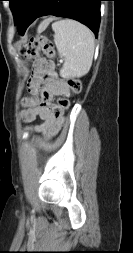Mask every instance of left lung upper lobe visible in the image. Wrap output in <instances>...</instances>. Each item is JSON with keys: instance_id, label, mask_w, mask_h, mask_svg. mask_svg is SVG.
Segmentation results:
<instances>
[{"instance_id": "1", "label": "left lung upper lobe", "mask_w": 133, "mask_h": 253, "mask_svg": "<svg viewBox=\"0 0 133 253\" xmlns=\"http://www.w3.org/2000/svg\"><path fill=\"white\" fill-rule=\"evenodd\" d=\"M8 1L10 3V8L14 16L15 24H17L21 10L26 0H8Z\"/></svg>"}]
</instances>
